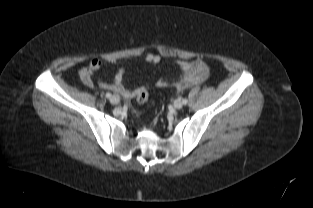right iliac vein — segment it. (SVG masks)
<instances>
[{
  "label": "right iliac vein",
  "instance_id": "obj_1",
  "mask_svg": "<svg viewBox=\"0 0 313 208\" xmlns=\"http://www.w3.org/2000/svg\"><path fill=\"white\" fill-rule=\"evenodd\" d=\"M110 102H111L112 104H114V105L119 104V102H120L119 96H118V95H113V96H111Z\"/></svg>",
  "mask_w": 313,
  "mask_h": 208
}]
</instances>
